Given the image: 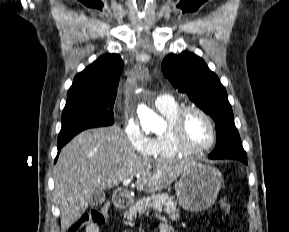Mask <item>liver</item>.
Wrapping results in <instances>:
<instances>
[{
    "label": "liver",
    "instance_id": "obj_1",
    "mask_svg": "<svg viewBox=\"0 0 289 232\" xmlns=\"http://www.w3.org/2000/svg\"><path fill=\"white\" fill-rule=\"evenodd\" d=\"M185 160L139 157L117 126L83 131L66 144L54 170V199L65 232L85 212L96 191L137 176L138 191L159 192L185 173Z\"/></svg>",
    "mask_w": 289,
    "mask_h": 232
}]
</instances>
